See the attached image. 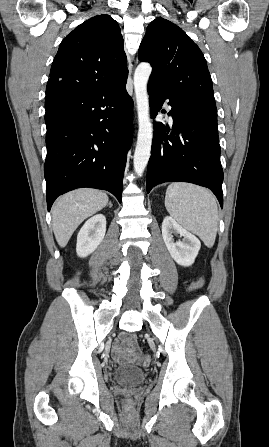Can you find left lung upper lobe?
Listing matches in <instances>:
<instances>
[{"instance_id":"5c2ea615","label":"left lung upper lobe","mask_w":269,"mask_h":447,"mask_svg":"<svg viewBox=\"0 0 269 447\" xmlns=\"http://www.w3.org/2000/svg\"><path fill=\"white\" fill-rule=\"evenodd\" d=\"M138 57L153 67L148 85L180 101L195 116L217 121L206 60L182 29L164 18H156L146 29Z\"/></svg>"}]
</instances>
